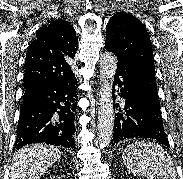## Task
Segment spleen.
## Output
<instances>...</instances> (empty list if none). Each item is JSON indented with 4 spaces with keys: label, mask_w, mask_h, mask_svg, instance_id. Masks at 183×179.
<instances>
[{
    "label": "spleen",
    "mask_w": 183,
    "mask_h": 179,
    "mask_svg": "<svg viewBox=\"0 0 183 179\" xmlns=\"http://www.w3.org/2000/svg\"><path fill=\"white\" fill-rule=\"evenodd\" d=\"M128 172L147 179H176L175 165L160 145L139 141L128 145L122 155Z\"/></svg>",
    "instance_id": "1"
}]
</instances>
